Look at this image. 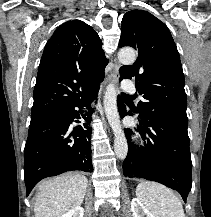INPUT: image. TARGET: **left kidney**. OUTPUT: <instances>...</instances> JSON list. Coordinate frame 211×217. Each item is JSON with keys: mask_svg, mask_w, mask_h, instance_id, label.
I'll return each mask as SVG.
<instances>
[{"mask_svg": "<svg viewBox=\"0 0 211 217\" xmlns=\"http://www.w3.org/2000/svg\"><path fill=\"white\" fill-rule=\"evenodd\" d=\"M131 210L133 217H153L150 211L145 207L142 201L139 198H133L131 201Z\"/></svg>", "mask_w": 211, "mask_h": 217, "instance_id": "1", "label": "left kidney"}]
</instances>
